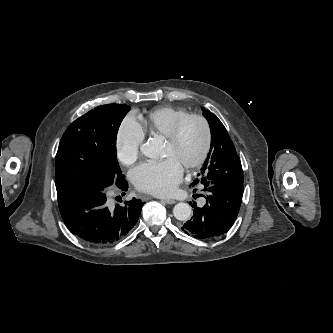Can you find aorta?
I'll return each instance as SVG.
<instances>
[{"label": "aorta", "instance_id": "aorta-1", "mask_svg": "<svg viewBox=\"0 0 333 333\" xmlns=\"http://www.w3.org/2000/svg\"><path fill=\"white\" fill-rule=\"evenodd\" d=\"M140 150L148 158H156L158 155V149L152 141L141 145ZM191 212L192 210L188 203H178L173 209L174 217L180 221H187L191 216Z\"/></svg>", "mask_w": 333, "mask_h": 333}]
</instances>
